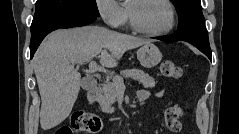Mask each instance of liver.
I'll return each mask as SVG.
<instances>
[{
  "instance_id": "6515ba94",
  "label": "liver",
  "mask_w": 239,
  "mask_h": 134,
  "mask_svg": "<svg viewBox=\"0 0 239 134\" xmlns=\"http://www.w3.org/2000/svg\"><path fill=\"white\" fill-rule=\"evenodd\" d=\"M149 42L99 26L62 29L49 34L33 58L42 102L41 128L51 129L71 113L82 84L75 64L100 55L103 66L115 67L127 50Z\"/></svg>"
}]
</instances>
